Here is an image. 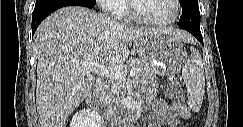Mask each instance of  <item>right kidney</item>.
<instances>
[{"mask_svg": "<svg viewBox=\"0 0 243 127\" xmlns=\"http://www.w3.org/2000/svg\"><path fill=\"white\" fill-rule=\"evenodd\" d=\"M101 124V116L96 111L82 109L72 117L70 127H101Z\"/></svg>", "mask_w": 243, "mask_h": 127, "instance_id": "ca27d5eb", "label": "right kidney"}]
</instances>
